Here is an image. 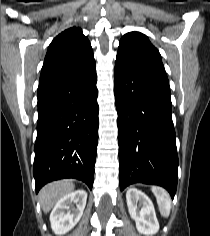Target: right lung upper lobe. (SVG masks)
<instances>
[{"label":"right lung upper lobe","mask_w":210,"mask_h":236,"mask_svg":"<svg viewBox=\"0 0 210 236\" xmlns=\"http://www.w3.org/2000/svg\"><path fill=\"white\" fill-rule=\"evenodd\" d=\"M95 66L93 50L81 28L71 27L49 45L41 70L39 87L44 88Z\"/></svg>","instance_id":"cb5924a9"}]
</instances>
